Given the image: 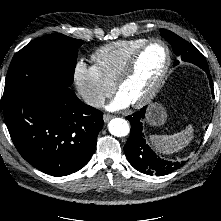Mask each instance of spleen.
Segmentation results:
<instances>
[{
	"label": "spleen",
	"mask_w": 221,
	"mask_h": 221,
	"mask_svg": "<svg viewBox=\"0 0 221 221\" xmlns=\"http://www.w3.org/2000/svg\"><path fill=\"white\" fill-rule=\"evenodd\" d=\"M193 126L188 125L184 130L171 135H152L150 140L158 151L172 154L184 148L193 139Z\"/></svg>",
	"instance_id": "1"
}]
</instances>
